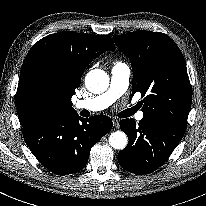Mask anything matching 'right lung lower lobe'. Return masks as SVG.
<instances>
[{
  "instance_id": "98d812e1",
  "label": "right lung lower lobe",
  "mask_w": 206,
  "mask_h": 206,
  "mask_svg": "<svg viewBox=\"0 0 206 206\" xmlns=\"http://www.w3.org/2000/svg\"><path fill=\"white\" fill-rule=\"evenodd\" d=\"M103 115L83 119L73 114L23 130L29 149L38 161L57 175L73 174L85 167L90 150L112 129Z\"/></svg>"
}]
</instances>
